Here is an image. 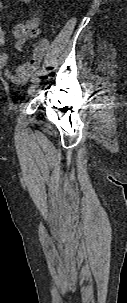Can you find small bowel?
<instances>
[{"instance_id": "1", "label": "small bowel", "mask_w": 127, "mask_h": 303, "mask_svg": "<svg viewBox=\"0 0 127 303\" xmlns=\"http://www.w3.org/2000/svg\"><path fill=\"white\" fill-rule=\"evenodd\" d=\"M20 4H28L30 0H18ZM3 4L0 0V12L2 11ZM25 25L19 24L14 28V35L17 39L15 48L17 50H23L25 47ZM6 45L5 32L0 23V69L4 70V76L7 80L11 81L16 85L25 84L32 74L40 66L42 59L44 58L46 51L49 47V41L47 39H41L38 44L35 46L32 58L18 66L14 71L8 69L9 55L3 51V48Z\"/></svg>"}]
</instances>
